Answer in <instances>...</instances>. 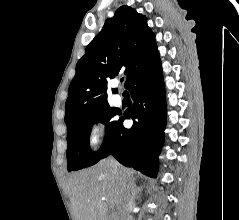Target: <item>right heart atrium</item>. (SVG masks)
Masks as SVG:
<instances>
[{
  "instance_id": "right-heart-atrium-1",
  "label": "right heart atrium",
  "mask_w": 239,
  "mask_h": 220,
  "mask_svg": "<svg viewBox=\"0 0 239 220\" xmlns=\"http://www.w3.org/2000/svg\"><path fill=\"white\" fill-rule=\"evenodd\" d=\"M103 124L101 121H95L90 129L88 134V143L91 147H95L100 142V139L103 135Z\"/></svg>"
}]
</instances>
